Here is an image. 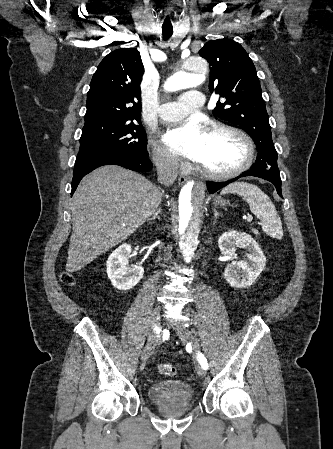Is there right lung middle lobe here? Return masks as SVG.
<instances>
[{
    "instance_id": "dd1d6c3e",
    "label": "right lung middle lobe",
    "mask_w": 333,
    "mask_h": 449,
    "mask_svg": "<svg viewBox=\"0 0 333 449\" xmlns=\"http://www.w3.org/2000/svg\"><path fill=\"white\" fill-rule=\"evenodd\" d=\"M140 123V120H137ZM116 152L126 155L148 154L146 135L135 121L84 126L79 153Z\"/></svg>"
}]
</instances>
